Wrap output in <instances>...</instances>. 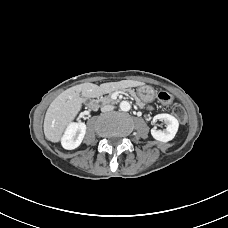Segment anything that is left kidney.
Segmentation results:
<instances>
[{
  "label": "left kidney",
  "mask_w": 228,
  "mask_h": 228,
  "mask_svg": "<svg viewBox=\"0 0 228 228\" xmlns=\"http://www.w3.org/2000/svg\"><path fill=\"white\" fill-rule=\"evenodd\" d=\"M157 120H162L166 124V129L164 130H157L155 127L151 129V135L154 139L160 142H168L171 141L179 128L178 120L170 115V114H157L153 118V122Z\"/></svg>",
  "instance_id": "left-kidney-1"
}]
</instances>
